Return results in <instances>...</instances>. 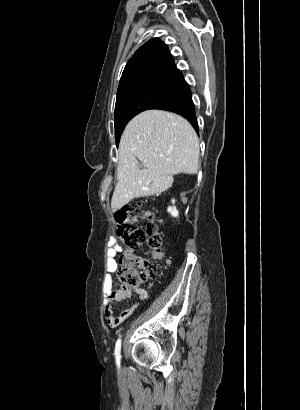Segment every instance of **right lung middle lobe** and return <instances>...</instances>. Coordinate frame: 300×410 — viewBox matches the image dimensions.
Wrapping results in <instances>:
<instances>
[{
	"mask_svg": "<svg viewBox=\"0 0 300 410\" xmlns=\"http://www.w3.org/2000/svg\"><path fill=\"white\" fill-rule=\"evenodd\" d=\"M187 87L186 82L139 83L118 92L115 106L116 144L118 145L126 124L135 115L171 103Z\"/></svg>",
	"mask_w": 300,
	"mask_h": 410,
	"instance_id": "1",
	"label": "right lung middle lobe"
}]
</instances>
